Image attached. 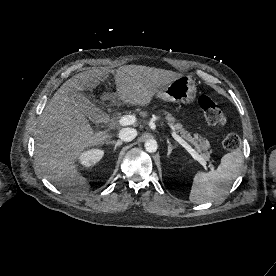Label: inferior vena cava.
<instances>
[{
    "label": "inferior vena cava",
    "mask_w": 276,
    "mask_h": 276,
    "mask_svg": "<svg viewBox=\"0 0 276 276\" xmlns=\"http://www.w3.org/2000/svg\"><path fill=\"white\" fill-rule=\"evenodd\" d=\"M137 136L134 128H123L119 132V138L124 142H130Z\"/></svg>",
    "instance_id": "inferior-vena-cava-1"
}]
</instances>
